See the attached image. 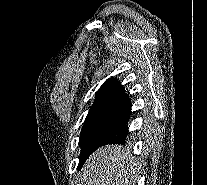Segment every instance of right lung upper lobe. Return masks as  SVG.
<instances>
[{"instance_id":"1","label":"right lung upper lobe","mask_w":207,"mask_h":185,"mask_svg":"<svg viewBox=\"0 0 207 185\" xmlns=\"http://www.w3.org/2000/svg\"><path fill=\"white\" fill-rule=\"evenodd\" d=\"M131 109L129 96L117 79H108L96 94L90 109L127 112Z\"/></svg>"}]
</instances>
